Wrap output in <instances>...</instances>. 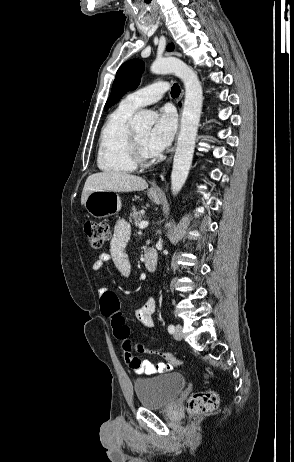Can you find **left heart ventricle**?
Returning a JSON list of instances; mask_svg holds the SVG:
<instances>
[{"instance_id": "b2bd125f", "label": "left heart ventricle", "mask_w": 294, "mask_h": 462, "mask_svg": "<svg viewBox=\"0 0 294 462\" xmlns=\"http://www.w3.org/2000/svg\"><path fill=\"white\" fill-rule=\"evenodd\" d=\"M139 142L141 143V145L143 146L145 152L147 154H150V151L148 150V147H147V138H148V135L150 133L149 129H139V130H134Z\"/></svg>"}]
</instances>
